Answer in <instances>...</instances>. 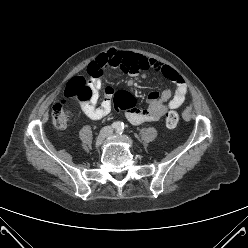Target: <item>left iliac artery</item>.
<instances>
[{
  "label": "left iliac artery",
  "mask_w": 248,
  "mask_h": 248,
  "mask_svg": "<svg viewBox=\"0 0 248 248\" xmlns=\"http://www.w3.org/2000/svg\"><path fill=\"white\" fill-rule=\"evenodd\" d=\"M123 131H124V125H122L121 128L117 130V134H122Z\"/></svg>",
  "instance_id": "left-iliac-artery-1"
}]
</instances>
